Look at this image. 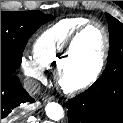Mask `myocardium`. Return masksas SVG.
<instances>
[{
  "label": "myocardium",
  "instance_id": "f54148a6",
  "mask_svg": "<svg viewBox=\"0 0 123 123\" xmlns=\"http://www.w3.org/2000/svg\"><path fill=\"white\" fill-rule=\"evenodd\" d=\"M93 25L98 26L102 31L104 38L102 52L92 73L84 79L76 80L70 75V65L73 58L74 48L79 37L89 27ZM109 48H110L109 34L106 27L102 23L90 20L87 23L83 24L70 37L64 57L60 62V64L58 65V67L56 68V80L58 85L67 93H76L85 90L91 85H93L98 80V78L102 73V70L108 57Z\"/></svg>",
  "mask_w": 123,
  "mask_h": 123
}]
</instances>
